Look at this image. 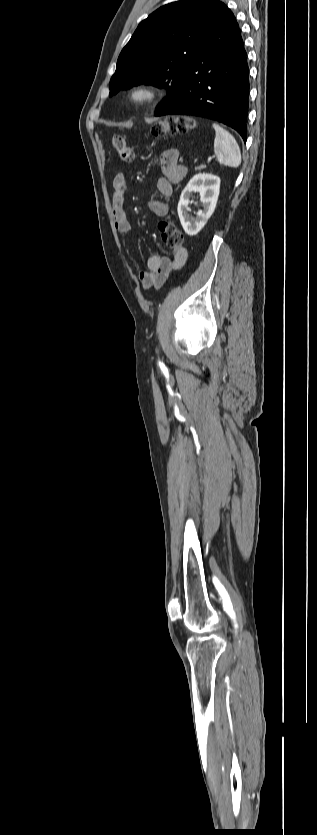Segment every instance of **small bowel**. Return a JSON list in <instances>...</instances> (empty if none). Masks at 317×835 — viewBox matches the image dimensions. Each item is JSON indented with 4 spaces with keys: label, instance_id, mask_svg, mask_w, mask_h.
Segmentation results:
<instances>
[{
    "label": "small bowel",
    "instance_id": "obj_1",
    "mask_svg": "<svg viewBox=\"0 0 317 835\" xmlns=\"http://www.w3.org/2000/svg\"><path fill=\"white\" fill-rule=\"evenodd\" d=\"M160 165L164 176L157 181V189L162 199L151 200L148 203L150 211L159 217L168 213V201L173 194V185L180 183L187 173V167L179 162V153L176 149L163 151L160 155ZM112 188L111 213L113 224L118 233L126 236L131 232V225L124 208L126 190V176L124 173L115 175ZM187 258L188 252L183 247L175 250L172 258L157 254L152 255L148 259L147 269L141 271L138 276L143 288H159L171 271L184 266Z\"/></svg>",
    "mask_w": 317,
    "mask_h": 835
}]
</instances>
